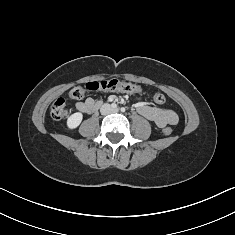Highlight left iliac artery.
Segmentation results:
<instances>
[{
    "instance_id": "1",
    "label": "left iliac artery",
    "mask_w": 235,
    "mask_h": 235,
    "mask_svg": "<svg viewBox=\"0 0 235 235\" xmlns=\"http://www.w3.org/2000/svg\"><path fill=\"white\" fill-rule=\"evenodd\" d=\"M121 111H122V112H125V108H124V107H122V108H121Z\"/></svg>"
}]
</instances>
